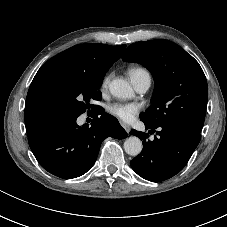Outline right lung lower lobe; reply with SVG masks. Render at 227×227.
<instances>
[{
    "mask_svg": "<svg viewBox=\"0 0 227 227\" xmlns=\"http://www.w3.org/2000/svg\"><path fill=\"white\" fill-rule=\"evenodd\" d=\"M89 114L91 126H78V116L55 118L28 135L34 156L49 173L63 179L81 176L95 163L104 139L127 137L118 120L102 108Z\"/></svg>",
    "mask_w": 227,
    "mask_h": 227,
    "instance_id": "obj_1",
    "label": "right lung lower lobe"
}]
</instances>
